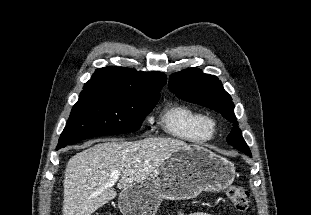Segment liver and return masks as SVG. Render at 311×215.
Here are the masks:
<instances>
[{"instance_id": "6515ba94", "label": "liver", "mask_w": 311, "mask_h": 215, "mask_svg": "<svg viewBox=\"0 0 311 215\" xmlns=\"http://www.w3.org/2000/svg\"><path fill=\"white\" fill-rule=\"evenodd\" d=\"M188 146L173 138L103 141L72 156L65 169L62 215H91L114 199L111 174L121 172L117 184L126 189L149 177L177 150Z\"/></svg>"}]
</instances>
